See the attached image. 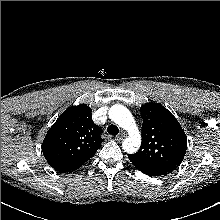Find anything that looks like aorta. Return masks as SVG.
<instances>
[{
    "label": "aorta",
    "instance_id": "obj_1",
    "mask_svg": "<svg viewBox=\"0 0 220 220\" xmlns=\"http://www.w3.org/2000/svg\"><path fill=\"white\" fill-rule=\"evenodd\" d=\"M109 117L129 133V136L122 143L124 151L127 153L137 152L141 145V136L130 111L122 105H114L109 110Z\"/></svg>",
    "mask_w": 220,
    "mask_h": 220
}]
</instances>
